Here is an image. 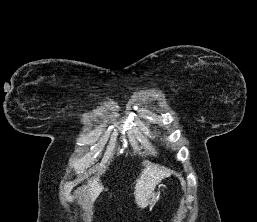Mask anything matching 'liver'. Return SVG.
I'll return each mask as SVG.
<instances>
[{"instance_id":"6515ba94","label":"liver","mask_w":257,"mask_h":222,"mask_svg":"<svg viewBox=\"0 0 257 222\" xmlns=\"http://www.w3.org/2000/svg\"><path fill=\"white\" fill-rule=\"evenodd\" d=\"M171 171L168 169H160L157 166H146L140 177L136 180L134 187L135 201L140 208H145L150 194L154 191L162 179L168 177ZM88 194L90 203H93L103 190V186L99 183V178L90 180L88 186Z\"/></svg>"}]
</instances>
